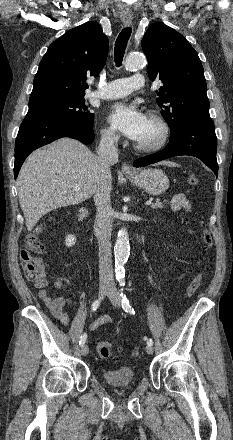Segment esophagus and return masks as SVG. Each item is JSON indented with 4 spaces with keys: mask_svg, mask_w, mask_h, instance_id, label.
<instances>
[{
    "mask_svg": "<svg viewBox=\"0 0 233 440\" xmlns=\"http://www.w3.org/2000/svg\"><path fill=\"white\" fill-rule=\"evenodd\" d=\"M122 21H123L124 25L129 26L132 24V17H130V16L123 17ZM122 171H123V173H128V174L135 173V170L127 163H124L122 165Z\"/></svg>",
    "mask_w": 233,
    "mask_h": 440,
    "instance_id": "esophagus-1",
    "label": "esophagus"
}]
</instances>
